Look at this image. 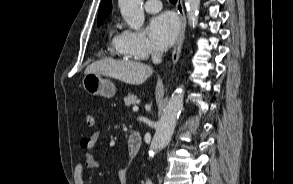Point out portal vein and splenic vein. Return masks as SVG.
Returning <instances> with one entry per match:
<instances>
[{
    "label": "portal vein and splenic vein",
    "mask_w": 293,
    "mask_h": 184,
    "mask_svg": "<svg viewBox=\"0 0 293 184\" xmlns=\"http://www.w3.org/2000/svg\"><path fill=\"white\" fill-rule=\"evenodd\" d=\"M139 110V108L137 106L133 107V112H137Z\"/></svg>",
    "instance_id": "18ae733b"
}]
</instances>
